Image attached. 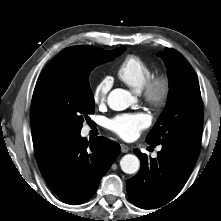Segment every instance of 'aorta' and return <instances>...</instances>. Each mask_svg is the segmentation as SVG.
Segmentation results:
<instances>
[{
  "instance_id": "obj_1",
  "label": "aorta",
  "mask_w": 221,
  "mask_h": 221,
  "mask_svg": "<svg viewBox=\"0 0 221 221\" xmlns=\"http://www.w3.org/2000/svg\"><path fill=\"white\" fill-rule=\"evenodd\" d=\"M133 101L131 93L127 90L117 88L108 95V105L115 111H122L128 108ZM120 166L123 172L127 174L136 173L140 168V161L133 154H126L121 158Z\"/></svg>"
}]
</instances>
